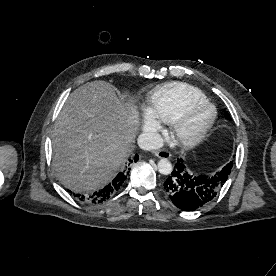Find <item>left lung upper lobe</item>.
I'll use <instances>...</instances> for the list:
<instances>
[{"instance_id": "1", "label": "left lung upper lobe", "mask_w": 276, "mask_h": 276, "mask_svg": "<svg viewBox=\"0 0 276 276\" xmlns=\"http://www.w3.org/2000/svg\"><path fill=\"white\" fill-rule=\"evenodd\" d=\"M227 118H229V115L227 114ZM230 165V168L233 166L232 162L228 163L227 166Z\"/></svg>"}]
</instances>
